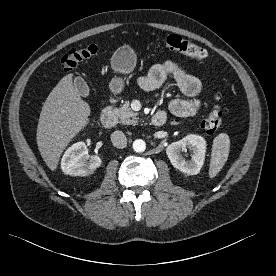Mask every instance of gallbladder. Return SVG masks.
Returning a JSON list of instances; mask_svg holds the SVG:
<instances>
[{
	"label": "gallbladder",
	"instance_id": "bac80fb5",
	"mask_svg": "<svg viewBox=\"0 0 276 276\" xmlns=\"http://www.w3.org/2000/svg\"><path fill=\"white\" fill-rule=\"evenodd\" d=\"M74 86L82 97L86 98L89 96V86L82 77H76L74 79Z\"/></svg>",
	"mask_w": 276,
	"mask_h": 276
}]
</instances>
